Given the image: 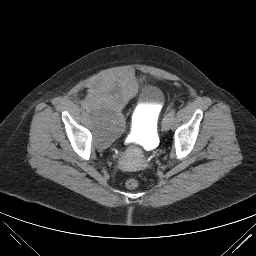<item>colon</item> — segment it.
Segmentation results:
<instances>
[{
	"mask_svg": "<svg viewBox=\"0 0 256 256\" xmlns=\"http://www.w3.org/2000/svg\"><path fill=\"white\" fill-rule=\"evenodd\" d=\"M140 186V181L136 178H130L126 181V187L128 189H136Z\"/></svg>",
	"mask_w": 256,
	"mask_h": 256,
	"instance_id": "5ec220e1",
	"label": "colon"
}]
</instances>
